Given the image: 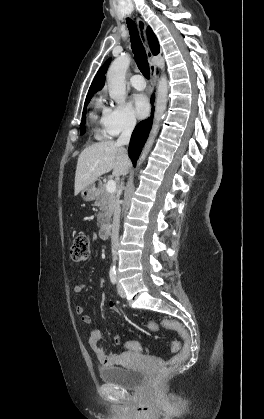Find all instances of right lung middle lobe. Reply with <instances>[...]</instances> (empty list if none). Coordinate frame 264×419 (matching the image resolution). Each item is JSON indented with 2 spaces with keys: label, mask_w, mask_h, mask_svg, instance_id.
Instances as JSON below:
<instances>
[{
  "label": "right lung middle lobe",
  "mask_w": 264,
  "mask_h": 419,
  "mask_svg": "<svg viewBox=\"0 0 264 419\" xmlns=\"http://www.w3.org/2000/svg\"><path fill=\"white\" fill-rule=\"evenodd\" d=\"M90 99L85 100V108L88 105V103L90 102ZM85 113H86V109H84L83 111V116H82V121L80 124V133L83 134L85 132Z\"/></svg>",
  "instance_id": "dd1d6c3e"
}]
</instances>
